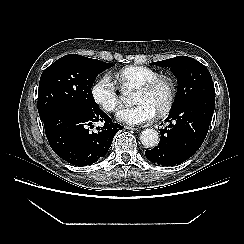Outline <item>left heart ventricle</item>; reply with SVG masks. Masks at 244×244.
<instances>
[{"instance_id": "1", "label": "left heart ventricle", "mask_w": 244, "mask_h": 244, "mask_svg": "<svg viewBox=\"0 0 244 244\" xmlns=\"http://www.w3.org/2000/svg\"><path fill=\"white\" fill-rule=\"evenodd\" d=\"M168 86L164 83L158 85L152 92L146 93L137 91L134 103H146L150 105L157 112L161 109L168 99Z\"/></svg>"}]
</instances>
